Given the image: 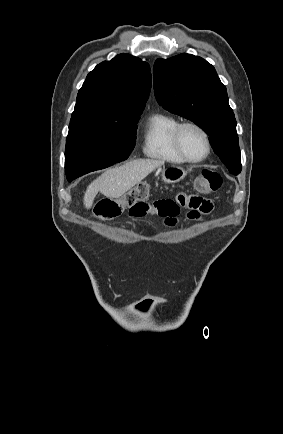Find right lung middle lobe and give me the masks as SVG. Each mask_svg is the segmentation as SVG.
Returning a JSON list of instances; mask_svg holds the SVG:
<instances>
[{
    "label": "right lung middle lobe",
    "instance_id": "right-lung-middle-lobe-1",
    "mask_svg": "<svg viewBox=\"0 0 283 434\" xmlns=\"http://www.w3.org/2000/svg\"><path fill=\"white\" fill-rule=\"evenodd\" d=\"M138 120L70 122L65 151L68 181L126 160L135 146Z\"/></svg>",
    "mask_w": 283,
    "mask_h": 434
}]
</instances>
